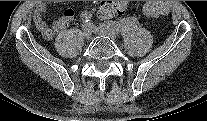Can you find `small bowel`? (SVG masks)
I'll use <instances>...</instances> for the list:
<instances>
[{
    "label": "small bowel",
    "instance_id": "c3829d8e",
    "mask_svg": "<svg viewBox=\"0 0 207 121\" xmlns=\"http://www.w3.org/2000/svg\"><path fill=\"white\" fill-rule=\"evenodd\" d=\"M124 7V2L103 1L100 4V8L106 10L107 15L101 18H111L115 14L121 13L124 10ZM46 9L47 3L39 2L34 11L33 20L42 37L46 40H51L58 32L62 31L69 25L74 17V10L71 8L67 9L61 17L55 19L53 23L49 25L44 19Z\"/></svg>",
    "mask_w": 207,
    "mask_h": 121
}]
</instances>
